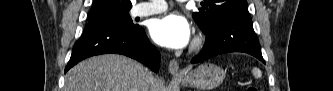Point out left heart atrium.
<instances>
[{
  "label": "left heart atrium",
  "instance_id": "39dd6f15",
  "mask_svg": "<svg viewBox=\"0 0 333 91\" xmlns=\"http://www.w3.org/2000/svg\"><path fill=\"white\" fill-rule=\"evenodd\" d=\"M149 31L157 44L170 49H182L191 40L190 24L186 18L178 14L154 19Z\"/></svg>",
  "mask_w": 333,
  "mask_h": 91
}]
</instances>
